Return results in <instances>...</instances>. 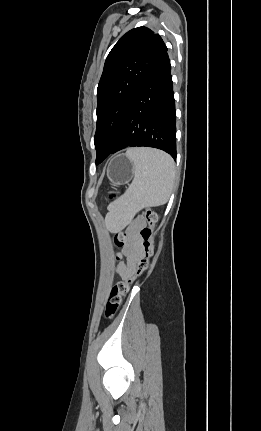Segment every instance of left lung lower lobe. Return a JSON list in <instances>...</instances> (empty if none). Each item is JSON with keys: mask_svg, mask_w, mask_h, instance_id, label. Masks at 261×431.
<instances>
[{"mask_svg": "<svg viewBox=\"0 0 261 431\" xmlns=\"http://www.w3.org/2000/svg\"><path fill=\"white\" fill-rule=\"evenodd\" d=\"M130 146L158 148L176 160L175 100L167 51L136 93L110 154Z\"/></svg>", "mask_w": 261, "mask_h": 431, "instance_id": "0a47b994", "label": "left lung lower lobe"}]
</instances>
